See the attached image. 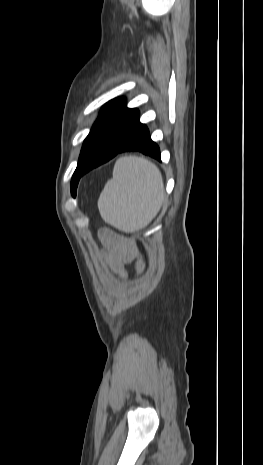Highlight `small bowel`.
I'll return each mask as SVG.
<instances>
[{
	"label": "small bowel",
	"instance_id": "1",
	"mask_svg": "<svg viewBox=\"0 0 263 465\" xmlns=\"http://www.w3.org/2000/svg\"><path fill=\"white\" fill-rule=\"evenodd\" d=\"M117 268H118V271L120 272V274H123V269H122V262H118L117 264Z\"/></svg>",
	"mask_w": 263,
	"mask_h": 465
}]
</instances>
